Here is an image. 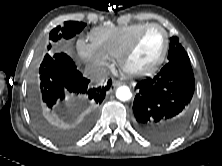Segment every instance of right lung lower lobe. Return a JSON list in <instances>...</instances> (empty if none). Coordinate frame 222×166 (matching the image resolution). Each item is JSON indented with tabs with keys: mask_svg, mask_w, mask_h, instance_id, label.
Instances as JSON below:
<instances>
[{
	"mask_svg": "<svg viewBox=\"0 0 222 166\" xmlns=\"http://www.w3.org/2000/svg\"><path fill=\"white\" fill-rule=\"evenodd\" d=\"M39 78L32 105L43 108L48 114H54L65 103L83 96L101 104L112 83L109 80L106 86L89 88L90 80L82 76L65 53L46 54L39 68Z\"/></svg>",
	"mask_w": 222,
	"mask_h": 166,
	"instance_id": "right-lung-lower-lobe-1",
	"label": "right lung lower lobe"
}]
</instances>
